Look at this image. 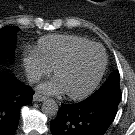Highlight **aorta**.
Segmentation results:
<instances>
[{
	"instance_id": "obj_1",
	"label": "aorta",
	"mask_w": 135,
	"mask_h": 135,
	"mask_svg": "<svg viewBox=\"0 0 135 135\" xmlns=\"http://www.w3.org/2000/svg\"><path fill=\"white\" fill-rule=\"evenodd\" d=\"M42 112L47 116H55L58 112V104L53 99H48L42 104Z\"/></svg>"
}]
</instances>
